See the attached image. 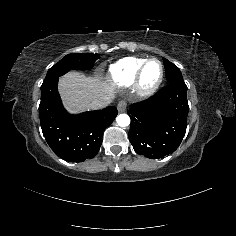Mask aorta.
<instances>
[{
	"label": "aorta",
	"instance_id": "obj_1",
	"mask_svg": "<svg viewBox=\"0 0 236 236\" xmlns=\"http://www.w3.org/2000/svg\"><path fill=\"white\" fill-rule=\"evenodd\" d=\"M116 122L119 126H128L130 123V118L127 114L121 113L116 117Z\"/></svg>",
	"mask_w": 236,
	"mask_h": 236
}]
</instances>
